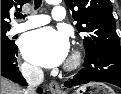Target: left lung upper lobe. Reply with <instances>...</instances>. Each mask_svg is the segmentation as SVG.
<instances>
[{"label": "left lung upper lobe", "mask_w": 121, "mask_h": 94, "mask_svg": "<svg viewBox=\"0 0 121 94\" xmlns=\"http://www.w3.org/2000/svg\"><path fill=\"white\" fill-rule=\"evenodd\" d=\"M65 3L72 10L74 20L78 21V31L87 33L83 39L86 53L120 52L110 0H65Z\"/></svg>", "instance_id": "left-lung-upper-lobe-1"}]
</instances>
